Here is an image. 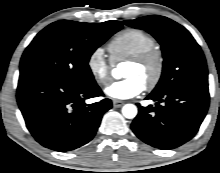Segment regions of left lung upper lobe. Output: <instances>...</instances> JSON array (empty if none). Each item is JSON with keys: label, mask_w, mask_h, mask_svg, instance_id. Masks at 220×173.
Here are the masks:
<instances>
[{"label": "left lung upper lobe", "mask_w": 220, "mask_h": 173, "mask_svg": "<svg viewBox=\"0 0 220 173\" xmlns=\"http://www.w3.org/2000/svg\"><path fill=\"white\" fill-rule=\"evenodd\" d=\"M124 23L146 30L161 45L163 70L153 93H164L182 86L208 87L205 57L187 29L169 18L158 15L125 20Z\"/></svg>", "instance_id": "1"}]
</instances>
